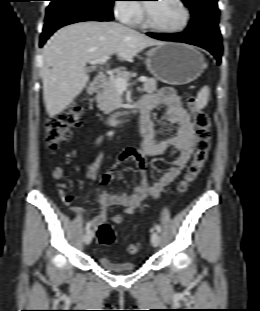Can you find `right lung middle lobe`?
Segmentation results:
<instances>
[{"mask_svg": "<svg viewBox=\"0 0 260 311\" xmlns=\"http://www.w3.org/2000/svg\"><path fill=\"white\" fill-rule=\"evenodd\" d=\"M54 1V0H51ZM82 5L93 8L97 11L112 14V6L115 0H71ZM113 15V14H112Z\"/></svg>", "mask_w": 260, "mask_h": 311, "instance_id": "dd1d6c3e", "label": "right lung middle lobe"}]
</instances>
